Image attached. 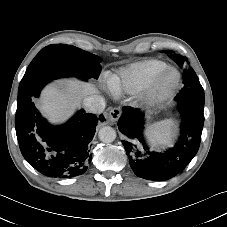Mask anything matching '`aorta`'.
Returning <instances> with one entry per match:
<instances>
[{"mask_svg":"<svg viewBox=\"0 0 227 227\" xmlns=\"http://www.w3.org/2000/svg\"><path fill=\"white\" fill-rule=\"evenodd\" d=\"M98 137L102 142L110 143L116 139V131L110 126H104L99 130Z\"/></svg>","mask_w":227,"mask_h":227,"instance_id":"762f6f07","label":"aorta"}]
</instances>
